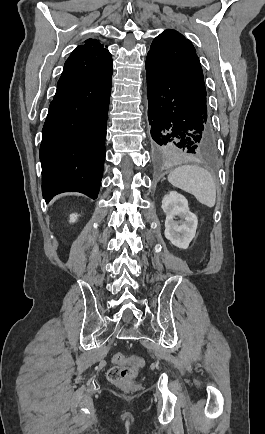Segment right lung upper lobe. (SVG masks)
<instances>
[{"mask_svg": "<svg viewBox=\"0 0 265 434\" xmlns=\"http://www.w3.org/2000/svg\"><path fill=\"white\" fill-rule=\"evenodd\" d=\"M84 44L85 45H92V46L99 47V48H103V45L100 44V42L98 40H96V39H88V40L85 41Z\"/></svg>", "mask_w": 265, "mask_h": 434, "instance_id": "cb5924a9", "label": "right lung upper lobe"}]
</instances>
